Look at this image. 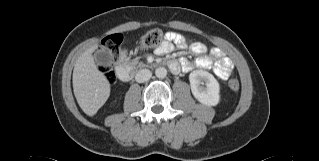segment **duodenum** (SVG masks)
Instances as JSON below:
<instances>
[{"mask_svg": "<svg viewBox=\"0 0 319 161\" xmlns=\"http://www.w3.org/2000/svg\"><path fill=\"white\" fill-rule=\"evenodd\" d=\"M168 67L172 72H177L179 70V65L175 61H170L168 63ZM117 77L122 82L129 81L133 76V69L127 63L125 55H122L118 59L117 67H116Z\"/></svg>", "mask_w": 319, "mask_h": 161, "instance_id": "410a0bca", "label": "duodenum"}]
</instances>
